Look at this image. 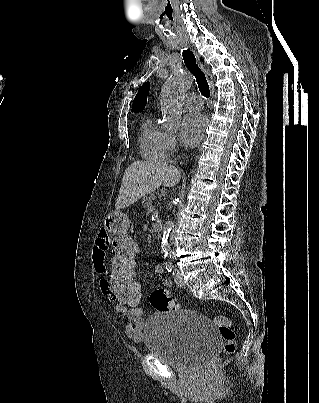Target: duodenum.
<instances>
[{
  "mask_svg": "<svg viewBox=\"0 0 319 403\" xmlns=\"http://www.w3.org/2000/svg\"><path fill=\"white\" fill-rule=\"evenodd\" d=\"M153 230H154L155 232H158V233L162 232V231L164 230L163 222L160 221V220H156V221L154 222V224H153Z\"/></svg>",
  "mask_w": 319,
  "mask_h": 403,
  "instance_id": "duodenum-1",
  "label": "duodenum"
}]
</instances>
